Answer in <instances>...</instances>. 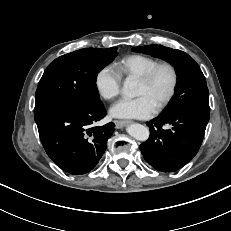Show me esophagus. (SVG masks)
<instances>
[{"label":"esophagus","mask_w":231,"mask_h":231,"mask_svg":"<svg viewBox=\"0 0 231 231\" xmlns=\"http://www.w3.org/2000/svg\"><path fill=\"white\" fill-rule=\"evenodd\" d=\"M131 123L132 121L130 120H116L115 121V125L117 128H123L124 126L129 125Z\"/></svg>","instance_id":"34e87169"}]
</instances>
